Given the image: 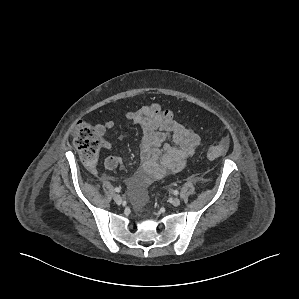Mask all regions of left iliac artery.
I'll list each match as a JSON object with an SVG mask.
<instances>
[{
    "mask_svg": "<svg viewBox=\"0 0 299 299\" xmlns=\"http://www.w3.org/2000/svg\"><path fill=\"white\" fill-rule=\"evenodd\" d=\"M173 194H174V195H178V194H179V191H178V190H174V191H173Z\"/></svg>",
    "mask_w": 299,
    "mask_h": 299,
    "instance_id": "left-iliac-artery-1",
    "label": "left iliac artery"
}]
</instances>
